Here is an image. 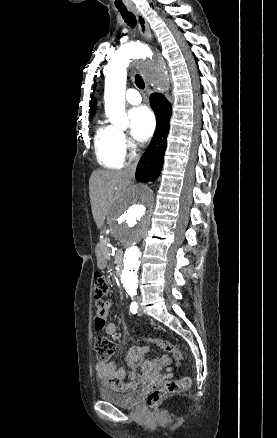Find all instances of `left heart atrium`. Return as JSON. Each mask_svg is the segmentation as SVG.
I'll return each instance as SVG.
<instances>
[{
	"label": "left heart atrium",
	"instance_id": "1",
	"mask_svg": "<svg viewBox=\"0 0 277 438\" xmlns=\"http://www.w3.org/2000/svg\"><path fill=\"white\" fill-rule=\"evenodd\" d=\"M133 124V133L141 141L148 140L155 127V119L152 111L147 107H139L130 111Z\"/></svg>",
	"mask_w": 277,
	"mask_h": 438
}]
</instances>
